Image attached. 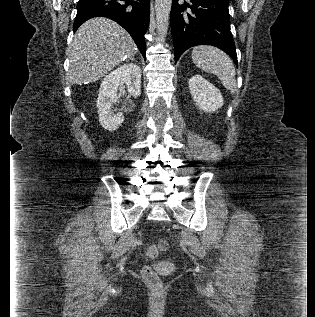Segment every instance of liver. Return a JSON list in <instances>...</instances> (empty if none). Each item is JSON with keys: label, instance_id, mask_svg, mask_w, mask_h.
Returning a JSON list of instances; mask_svg holds the SVG:
<instances>
[{"label": "liver", "instance_id": "liver-1", "mask_svg": "<svg viewBox=\"0 0 315 317\" xmlns=\"http://www.w3.org/2000/svg\"><path fill=\"white\" fill-rule=\"evenodd\" d=\"M137 48L130 35L114 21L97 17L86 21L75 33L67 53L71 84L93 83Z\"/></svg>", "mask_w": 315, "mask_h": 317}]
</instances>
